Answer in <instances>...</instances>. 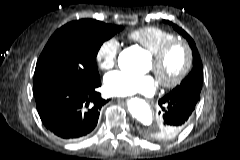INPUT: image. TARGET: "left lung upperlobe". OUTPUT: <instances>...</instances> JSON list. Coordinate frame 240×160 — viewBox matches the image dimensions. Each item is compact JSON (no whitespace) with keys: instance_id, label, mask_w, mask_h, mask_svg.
I'll list each match as a JSON object with an SVG mask.
<instances>
[{"instance_id":"left-lung-upper-lobe-1","label":"left lung upper lobe","mask_w":240,"mask_h":160,"mask_svg":"<svg viewBox=\"0 0 240 160\" xmlns=\"http://www.w3.org/2000/svg\"><path fill=\"white\" fill-rule=\"evenodd\" d=\"M165 23L171 24L175 30H177L184 38L187 39L193 54V69L189 73V75L182 81L180 85H178L175 89H173L169 94L176 96H186L194 98L195 100H199L200 92L202 89L203 82V66L202 61L200 59L198 50L193 39L180 27L173 24L168 20H164ZM162 127L158 126L154 128L155 130H160Z\"/></svg>"}]
</instances>
